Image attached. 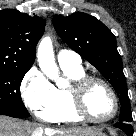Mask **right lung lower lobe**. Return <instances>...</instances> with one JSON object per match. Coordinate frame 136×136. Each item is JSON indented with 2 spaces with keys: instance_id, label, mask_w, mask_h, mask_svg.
I'll return each mask as SVG.
<instances>
[{
  "instance_id": "right-lung-lower-lobe-1",
  "label": "right lung lower lobe",
  "mask_w": 136,
  "mask_h": 136,
  "mask_svg": "<svg viewBox=\"0 0 136 136\" xmlns=\"http://www.w3.org/2000/svg\"><path fill=\"white\" fill-rule=\"evenodd\" d=\"M11 117L20 118V117H17V116H11Z\"/></svg>"
}]
</instances>
